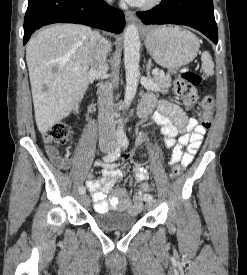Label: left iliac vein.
I'll use <instances>...</instances> for the list:
<instances>
[{"instance_id":"obj_1","label":"left iliac vein","mask_w":247,"mask_h":275,"mask_svg":"<svg viewBox=\"0 0 247 275\" xmlns=\"http://www.w3.org/2000/svg\"><path fill=\"white\" fill-rule=\"evenodd\" d=\"M155 206H156V203H155L154 200L146 201V208H147L148 210L154 209Z\"/></svg>"}]
</instances>
